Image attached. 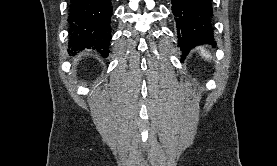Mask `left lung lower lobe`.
<instances>
[{"label":"left lung lower lobe","mask_w":277,"mask_h":166,"mask_svg":"<svg viewBox=\"0 0 277 166\" xmlns=\"http://www.w3.org/2000/svg\"><path fill=\"white\" fill-rule=\"evenodd\" d=\"M172 12L181 50L186 52L197 45L215 44L210 0H172Z\"/></svg>","instance_id":"1"}]
</instances>
